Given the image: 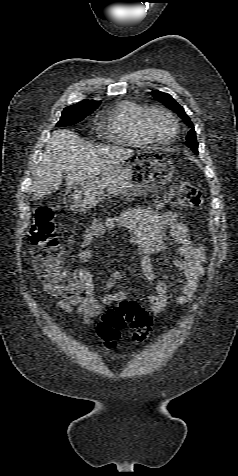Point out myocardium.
Returning a JSON list of instances; mask_svg holds the SVG:
<instances>
[{"instance_id": "1", "label": "myocardium", "mask_w": 238, "mask_h": 476, "mask_svg": "<svg viewBox=\"0 0 238 476\" xmlns=\"http://www.w3.org/2000/svg\"><path fill=\"white\" fill-rule=\"evenodd\" d=\"M155 112H161L163 113L164 115H166L173 123V134L172 136L167 139V140H160L158 139L154 134L153 132L151 131V128H150V117L153 113ZM141 128H142V131L143 133L145 134V136L152 142V143H155V144H158V145H165V144H169L171 142H173L175 140V138L177 137L178 135V132H179V123H178V120L177 118L175 117V115L169 110L167 109L166 107L164 106H160V105H153V106H150L148 108H146V110L143 112L142 114V117H141Z\"/></svg>"}]
</instances>
